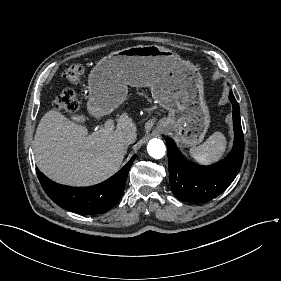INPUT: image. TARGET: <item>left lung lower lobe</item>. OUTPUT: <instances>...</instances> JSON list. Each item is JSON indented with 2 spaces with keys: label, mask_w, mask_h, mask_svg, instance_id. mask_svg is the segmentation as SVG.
I'll use <instances>...</instances> for the list:
<instances>
[{
  "label": "left lung lower lobe",
  "mask_w": 281,
  "mask_h": 281,
  "mask_svg": "<svg viewBox=\"0 0 281 281\" xmlns=\"http://www.w3.org/2000/svg\"><path fill=\"white\" fill-rule=\"evenodd\" d=\"M229 99L233 106L234 146L222 161L201 166L186 160L171 139L168 144V168L173 194L190 203H203L221 194L235 179L244 156V136L240 121L239 104L232 90Z\"/></svg>",
  "instance_id": "0a47b994"
}]
</instances>
